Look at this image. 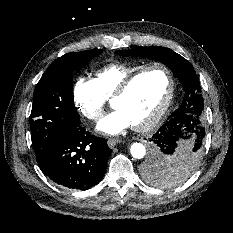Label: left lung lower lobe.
Instances as JSON below:
<instances>
[{"mask_svg": "<svg viewBox=\"0 0 233 233\" xmlns=\"http://www.w3.org/2000/svg\"><path fill=\"white\" fill-rule=\"evenodd\" d=\"M204 137L205 128L199 121L182 123L176 119L168 120L150 139L153 150L144 175L156 182L171 183L180 180L163 162L181 161L191 157L199 159Z\"/></svg>", "mask_w": 233, "mask_h": 233, "instance_id": "obj_1", "label": "left lung lower lobe"}]
</instances>
